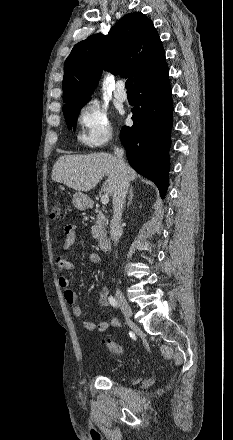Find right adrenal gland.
Returning <instances> with one entry per match:
<instances>
[{"mask_svg":"<svg viewBox=\"0 0 233 440\" xmlns=\"http://www.w3.org/2000/svg\"><path fill=\"white\" fill-rule=\"evenodd\" d=\"M133 196H134V194H133V187H131L130 190H129V196H128V203H127V206H130V205H131L132 200H133Z\"/></svg>","mask_w":233,"mask_h":440,"instance_id":"1","label":"right adrenal gland"}]
</instances>
